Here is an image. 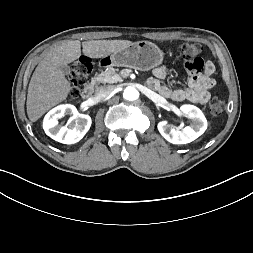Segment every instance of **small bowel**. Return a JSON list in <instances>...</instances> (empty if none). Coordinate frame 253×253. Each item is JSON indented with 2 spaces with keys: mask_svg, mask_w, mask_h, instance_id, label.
I'll use <instances>...</instances> for the list:
<instances>
[{
  "mask_svg": "<svg viewBox=\"0 0 253 253\" xmlns=\"http://www.w3.org/2000/svg\"><path fill=\"white\" fill-rule=\"evenodd\" d=\"M180 73L189 78L188 88L171 89L164 80L168 70L165 66L154 69L153 77L148 83L151 88L158 91L162 96L176 102L190 101L198 104H206L210 100V90L215 87V81L211 78L214 72V62L212 60L203 61L201 58L195 60H184L179 67Z\"/></svg>",
  "mask_w": 253,
  "mask_h": 253,
  "instance_id": "obj_1",
  "label": "small bowel"
}]
</instances>
